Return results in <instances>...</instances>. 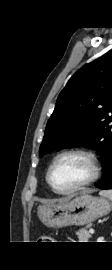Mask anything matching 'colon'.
<instances>
[{
  "instance_id": "5ec220e1",
  "label": "colon",
  "mask_w": 112,
  "mask_h": 270,
  "mask_svg": "<svg viewBox=\"0 0 112 270\" xmlns=\"http://www.w3.org/2000/svg\"><path fill=\"white\" fill-rule=\"evenodd\" d=\"M43 238H44V239H50V237H49V236H44Z\"/></svg>"
}]
</instances>
